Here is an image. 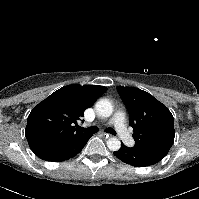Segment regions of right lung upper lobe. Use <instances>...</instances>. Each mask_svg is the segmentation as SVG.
Wrapping results in <instances>:
<instances>
[{"instance_id": "cb5924a9", "label": "right lung upper lobe", "mask_w": 199, "mask_h": 199, "mask_svg": "<svg viewBox=\"0 0 199 199\" xmlns=\"http://www.w3.org/2000/svg\"><path fill=\"white\" fill-rule=\"evenodd\" d=\"M106 91L103 86L72 84L40 102L29 114L25 129L30 148L56 146L83 135L77 121Z\"/></svg>"}]
</instances>
